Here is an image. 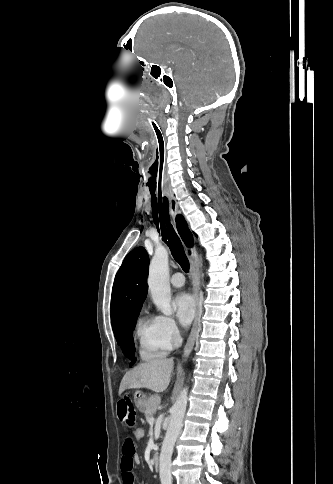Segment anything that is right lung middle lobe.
<instances>
[{
	"label": "right lung middle lobe",
	"mask_w": 333,
	"mask_h": 484,
	"mask_svg": "<svg viewBox=\"0 0 333 484\" xmlns=\"http://www.w3.org/2000/svg\"><path fill=\"white\" fill-rule=\"evenodd\" d=\"M138 314V311L131 313L114 331L118 345L121 346L125 355L131 360L130 366H132L136 361L132 335Z\"/></svg>",
	"instance_id": "right-lung-middle-lobe-1"
}]
</instances>
